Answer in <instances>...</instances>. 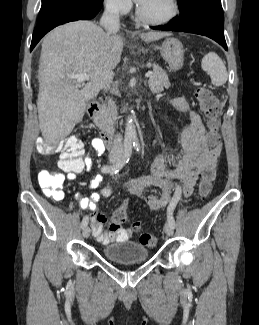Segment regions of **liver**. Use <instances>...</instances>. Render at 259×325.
Segmentation results:
<instances>
[{
    "mask_svg": "<svg viewBox=\"0 0 259 325\" xmlns=\"http://www.w3.org/2000/svg\"><path fill=\"white\" fill-rule=\"evenodd\" d=\"M170 33L140 34L146 42ZM123 38L91 21L70 22L53 29L42 42L38 70L37 100L39 127L44 140L54 145L66 138L82 121L86 103L108 86L120 62ZM88 74L79 89L69 75Z\"/></svg>",
    "mask_w": 259,
    "mask_h": 325,
    "instance_id": "obj_1",
    "label": "liver"
}]
</instances>
